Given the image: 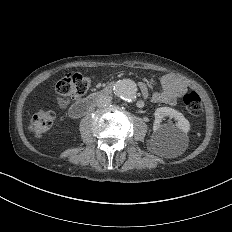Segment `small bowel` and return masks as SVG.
I'll return each mask as SVG.
<instances>
[{
  "label": "small bowel",
  "mask_w": 232,
  "mask_h": 232,
  "mask_svg": "<svg viewBox=\"0 0 232 232\" xmlns=\"http://www.w3.org/2000/svg\"><path fill=\"white\" fill-rule=\"evenodd\" d=\"M161 91L153 94L152 100L155 103L167 102L176 103L182 94L187 90V84L173 75H165L159 81ZM140 94L146 97L149 93V88L146 83L139 85Z\"/></svg>",
  "instance_id": "c3829d8e"
}]
</instances>
